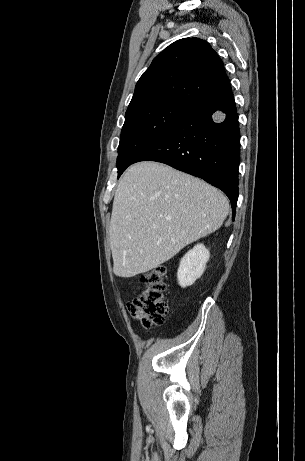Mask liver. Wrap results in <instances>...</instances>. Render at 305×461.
Segmentation results:
<instances>
[{
    "label": "liver",
    "instance_id": "6515ba94",
    "mask_svg": "<svg viewBox=\"0 0 305 461\" xmlns=\"http://www.w3.org/2000/svg\"><path fill=\"white\" fill-rule=\"evenodd\" d=\"M229 211L222 192L157 162L131 166L115 192L109 227L113 272L133 277L218 230Z\"/></svg>",
    "mask_w": 305,
    "mask_h": 461
}]
</instances>
